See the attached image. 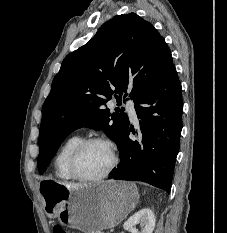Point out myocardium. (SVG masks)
<instances>
[{"instance_id": "myocardium-1", "label": "myocardium", "mask_w": 227, "mask_h": 233, "mask_svg": "<svg viewBox=\"0 0 227 233\" xmlns=\"http://www.w3.org/2000/svg\"><path fill=\"white\" fill-rule=\"evenodd\" d=\"M94 143H101L108 147L111 155V161L107 169L102 172L101 174L95 175V176H85L78 172L76 168V162L79 154L81 151L88 145L94 144ZM118 163V155L115 145L108 139L103 137H88L82 139L71 151L69 157H68V170L71 174V176L79 181H85V182H92V181H99L107 176L110 175V173L114 170Z\"/></svg>"}]
</instances>
